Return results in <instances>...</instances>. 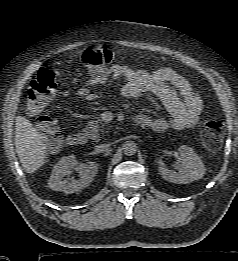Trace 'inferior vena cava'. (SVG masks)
I'll use <instances>...</instances> for the list:
<instances>
[{"label":"inferior vena cava","mask_w":238,"mask_h":261,"mask_svg":"<svg viewBox=\"0 0 238 261\" xmlns=\"http://www.w3.org/2000/svg\"><path fill=\"white\" fill-rule=\"evenodd\" d=\"M109 147H110V144H100V145L96 146L95 151L97 153H102V152L108 150Z\"/></svg>","instance_id":"obj_1"}]
</instances>
